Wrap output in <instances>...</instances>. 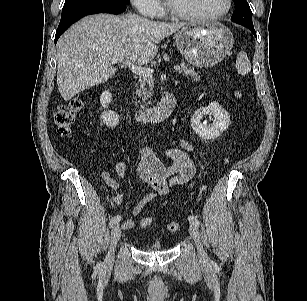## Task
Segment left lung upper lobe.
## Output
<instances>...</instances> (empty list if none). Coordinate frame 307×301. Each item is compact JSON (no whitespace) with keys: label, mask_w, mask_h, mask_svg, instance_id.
<instances>
[{"label":"left lung upper lobe","mask_w":307,"mask_h":301,"mask_svg":"<svg viewBox=\"0 0 307 301\" xmlns=\"http://www.w3.org/2000/svg\"><path fill=\"white\" fill-rule=\"evenodd\" d=\"M235 10L231 20L242 25H253L252 11L246 0H234Z\"/></svg>","instance_id":"1"}]
</instances>
